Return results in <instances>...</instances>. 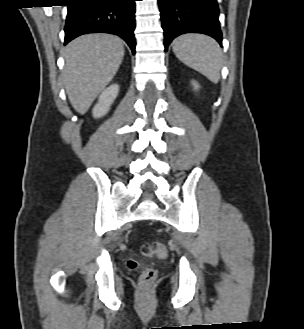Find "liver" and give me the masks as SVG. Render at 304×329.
I'll return each instance as SVG.
<instances>
[{
	"instance_id": "liver-1",
	"label": "liver",
	"mask_w": 304,
	"mask_h": 329,
	"mask_svg": "<svg viewBox=\"0 0 304 329\" xmlns=\"http://www.w3.org/2000/svg\"><path fill=\"white\" fill-rule=\"evenodd\" d=\"M120 38L109 34L82 35L65 49L64 86L72 107L85 114L113 79L124 57Z\"/></svg>"
}]
</instances>
